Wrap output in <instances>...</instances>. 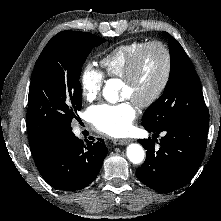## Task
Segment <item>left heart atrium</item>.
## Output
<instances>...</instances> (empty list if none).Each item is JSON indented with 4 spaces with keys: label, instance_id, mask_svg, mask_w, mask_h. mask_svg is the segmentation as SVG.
Here are the masks:
<instances>
[{
    "label": "left heart atrium",
    "instance_id": "obj_1",
    "mask_svg": "<svg viewBox=\"0 0 221 221\" xmlns=\"http://www.w3.org/2000/svg\"><path fill=\"white\" fill-rule=\"evenodd\" d=\"M90 120L102 133L123 136L131 129L137 116L136 103L127 100L118 104H99L89 110Z\"/></svg>",
    "mask_w": 221,
    "mask_h": 221
}]
</instances>
